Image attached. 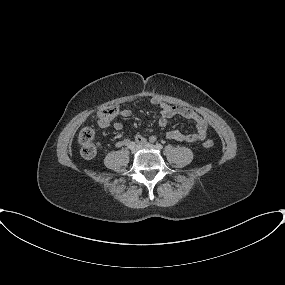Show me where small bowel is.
Returning a JSON list of instances; mask_svg holds the SVG:
<instances>
[{
    "mask_svg": "<svg viewBox=\"0 0 285 285\" xmlns=\"http://www.w3.org/2000/svg\"><path fill=\"white\" fill-rule=\"evenodd\" d=\"M148 100L152 105L157 108L159 112L158 125L160 127H165L168 123V120L176 116L190 120L195 125L196 131L194 133L185 134L179 130H171L166 133L167 139L187 143L202 142L206 139L208 134V124L206 120L202 118L198 113L187 107L168 104L167 102L158 97H148ZM133 101L134 100L127 101L123 108L120 109L119 114L121 117L126 118L131 116L132 110L130 108V104ZM97 125L100 128H105L108 126V123L106 121L98 119ZM113 127L116 131H121L123 129V125L121 122H115ZM146 140L147 138L142 134H137L135 136L136 143L140 145H143ZM149 140L154 142L156 140V137L151 136L149 137ZM128 142L129 140L125 139L117 142L116 145L122 146L126 145Z\"/></svg>",
    "mask_w": 285,
    "mask_h": 285,
    "instance_id": "c3829d8e",
    "label": "small bowel"
}]
</instances>
